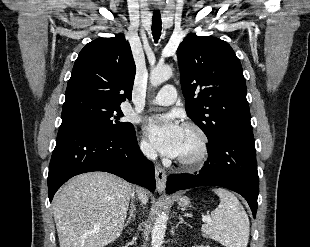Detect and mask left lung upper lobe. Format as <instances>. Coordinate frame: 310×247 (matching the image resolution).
I'll return each mask as SVG.
<instances>
[{
	"label": "left lung upper lobe",
	"instance_id": "left-lung-upper-lobe-1",
	"mask_svg": "<svg viewBox=\"0 0 310 247\" xmlns=\"http://www.w3.org/2000/svg\"><path fill=\"white\" fill-rule=\"evenodd\" d=\"M186 112L209 145L251 132L246 80L231 46L216 37L190 34L177 50Z\"/></svg>",
	"mask_w": 310,
	"mask_h": 247
}]
</instances>
